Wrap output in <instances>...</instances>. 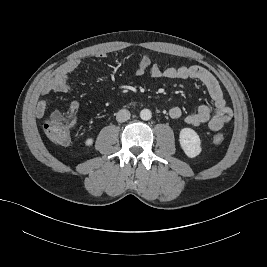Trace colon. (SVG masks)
<instances>
[{"label":"colon","mask_w":267,"mask_h":267,"mask_svg":"<svg viewBox=\"0 0 267 267\" xmlns=\"http://www.w3.org/2000/svg\"><path fill=\"white\" fill-rule=\"evenodd\" d=\"M76 123V116L60 111L54 112L44 123V132L56 144L64 145L70 140V130ZM214 144H221L224 140L222 134L213 136Z\"/></svg>","instance_id":"obj_1"}]
</instances>
